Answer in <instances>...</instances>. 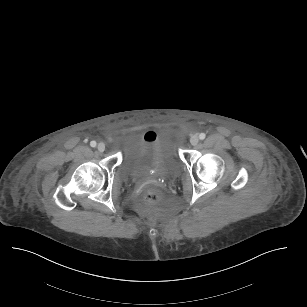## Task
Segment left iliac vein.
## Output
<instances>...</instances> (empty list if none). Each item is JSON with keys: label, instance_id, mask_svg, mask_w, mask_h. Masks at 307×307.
Masks as SVG:
<instances>
[{"label": "left iliac vein", "instance_id": "1", "mask_svg": "<svg viewBox=\"0 0 307 307\" xmlns=\"http://www.w3.org/2000/svg\"><path fill=\"white\" fill-rule=\"evenodd\" d=\"M198 142H199V138L197 136L194 135L190 138L191 145L195 146L198 144Z\"/></svg>", "mask_w": 307, "mask_h": 307}]
</instances>
